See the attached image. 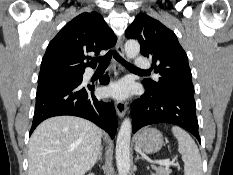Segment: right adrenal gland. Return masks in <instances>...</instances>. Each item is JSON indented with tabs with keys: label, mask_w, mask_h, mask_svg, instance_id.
I'll use <instances>...</instances> for the list:
<instances>
[{
	"label": "right adrenal gland",
	"mask_w": 233,
	"mask_h": 175,
	"mask_svg": "<svg viewBox=\"0 0 233 175\" xmlns=\"http://www.w3.org/2000/svg\"><path fill=\"white\" fill-rule=\"evenodd\" d=\"M98 161H102V149H101V151H100V153H99V156H98V158H97L96 163H97Z\"/></svg>",
	"instance_id": "right-adrenal-gland-1"
}]
</instances>
